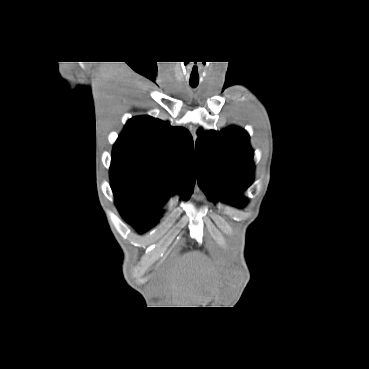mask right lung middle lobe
<instances>
[{
    "instance_id": "right-lung-middle-lobe-1",
    "label": "right lung middle lobe",
    "mask_w": 369,
    "mask_h": 369,
    "mask_svg": "<svg viewBox=\"0 0 369 369\" xmlns=\"http://www.w3.org/2000/svg\"><path fill=\"white\" fill-rule=\"evenodd\" d=\"M111 188L121 215L139 232H145L157 223L156 213L167 201L165 198L138 191L120 179H111Z\"/></svg>"
}]
</instances>
